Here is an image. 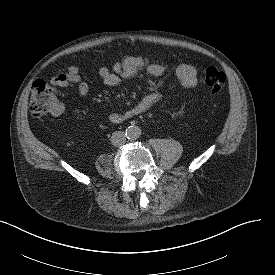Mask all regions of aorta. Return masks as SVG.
Wrapping results in <instances>:
<instances>
[{
	"instance_id": "obj_1",
	"label": "aorta",
	"mask_w": 275,
	"mask_h": 275,
	"mask_svg": "<svg viewBox=\"0 0 275 275\" xmlns=\"http://www.w3.org/2000/svg\"><path fill=\"white\" fill-rule=\"evenodd\" d=\"M125 135L128 139H137L141 135V129L138 126H129L126 129Z\"/></svg>"
}]
</instances>
